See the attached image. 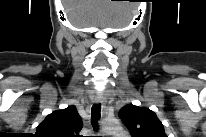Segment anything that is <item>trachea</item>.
I'll return each instance as SVG.
<instances>
[{
  "label": "trachea",
  "instance_id": "obj_1",
  "mask_svg": "<svg viewBox=\"0 0 206 137\" xmlns=\"http://www.w3.org/2000/svg\"><path fill=\"white\" fill-rule=\"evenodd\" d=\"M100 112H101V104H94L91 108V124L95 131L98 130V120L100 119V115H101Z\"/></svg>",
  "mask_w": 206,
  "mask_h": 137
}]
</instances>
